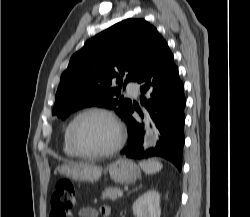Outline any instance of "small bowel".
I'll list each match as a JSON object with an SVG mask.
<instances>
[{
    "mask_svg": "<svg viewBox=\"0 0 250 217\" xmlns=\"http://www.w3.org/2000/svg\"><path fill=\"white\" fill-rule=\"evenodd\" d=\"M110 207L101 206L99 210H96L93 207H85L78 211V217H98L100 214L102 217H108L110 215Z\"/></svg>",
    "mask_w": 250,
    "mask_h": 217,
    "instance_id": "small-bowel-1",
    "label": "small bowel"
}]
</instances>
